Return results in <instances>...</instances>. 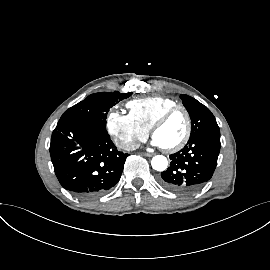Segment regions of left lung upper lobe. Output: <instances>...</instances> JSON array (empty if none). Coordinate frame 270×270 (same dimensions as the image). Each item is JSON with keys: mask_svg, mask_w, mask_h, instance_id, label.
Segmentation results:
<instances>
[{"mask_svg": "<svg viewBox=\"0 0 270 270\" xmlns=\"http://www.w3.org/2000/svg\"><path fill=\"white\" fill-rule=\"evenodd\" d=\"M180 97L191 118L192 127L189 140L203 134L220 135L216 119L206 106L188 95L182 94Z\"/></svg>", "mask_w": 270, "mask_h": 270, "instance_id": "obj_1", "label": "left lung upper lobe"}]
</instances>
